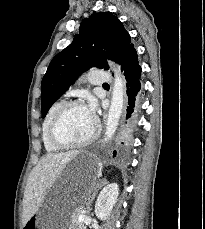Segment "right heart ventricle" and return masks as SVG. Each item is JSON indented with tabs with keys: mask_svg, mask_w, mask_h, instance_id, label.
Instances as JSON below:
<instances>
[{
	"mask_svg": "<svg viewBox=\"0 0 205 229\" xmlns=\"http://www.w3.org/2000/svg\"><path fill=\"white\" fill-rule=\"evenodd\" d=\"M62 103L63 101L61 100L55 101L48 109L47 114L42 123V141L46 151L48 152H55L60 149L51 143L49 139V128L54 114L56 113L58 108L62 105Z\"/></svg>",
	"mask_w": 205,
	"mask_h": 229,
	"instance_id": "obj_1",
	"label": "right heart ventricle"
}]
</instances>
